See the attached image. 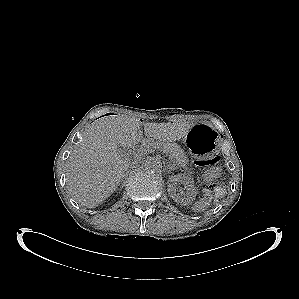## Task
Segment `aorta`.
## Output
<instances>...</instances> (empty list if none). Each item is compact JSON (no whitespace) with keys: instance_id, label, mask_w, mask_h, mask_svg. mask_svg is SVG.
I'll list each match as a JSON object with an SVG mask.
<instances>
[{"instance_id":"1","label":"aorta","mask_w":299,"mask_h":299,"mask_svg":"<svg viewBox=\"0 0 299 299\" xmlns=\"http://www.w3.org/2000/svg\"><path fill=\"white\" fill-rule=\"evenodd\" d=\"M144 168L148 172H158L162 169V162L158 158L151 157L145 161Z\"/></svg>"}]
</instances>
